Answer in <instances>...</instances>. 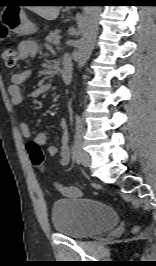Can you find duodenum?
<instances>
[{
    "instance_id": "410a0bca",
    "label": "duodenum",
    "mask_w": 156,
    "mask_h": 266,
    "mask_svg": "<svg viewBox=\"0 0 156 266\" xmlns=\"http://www.w3.org/2000/svg\"><path fill=\"white\" fill-rule=\"evenodd\" d=\"M63 69L61 72L62 80L65 84H70L73 78V67L69 58L64 59Z\"/></svg>"
}]
</instances>
